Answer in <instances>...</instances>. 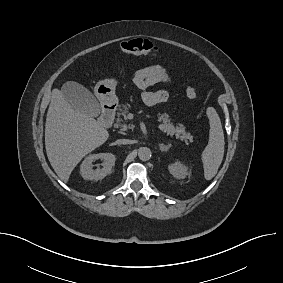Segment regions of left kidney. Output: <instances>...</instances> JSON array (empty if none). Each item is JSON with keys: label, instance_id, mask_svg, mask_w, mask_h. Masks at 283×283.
Returning <instances> with one entry per match:
<instances>
[{"label": "left kidney", "instance_id": "left-kidney-1", "mask_svg": "<svg viewBox=\"0 0 283 283\" xmlns=\"http://www.w3.org/2000/svg\"><path fill=\"white\" fill-rule=\"evenodd\" d=\"M169 172L173 175V177L177 179H184L187 175H190V171L188 167L183 165L181 162L176 161L168 166Z\"/></svg>", "mask_w": 283, "mask_h": 283}]
</instances>
